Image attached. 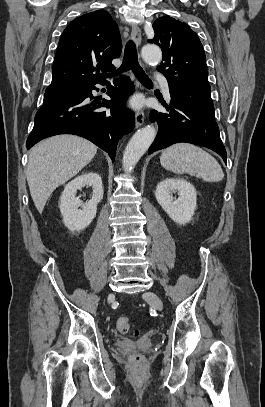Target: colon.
<instances>
[{"mask_svg": "<svg viewBox=\"0 0 265 407\" xmlns=\"http://www.w3.org/2000/svg\"><path fill=\"white\" fill-rule=\"evenodd\" d=\"M116 327L121 333H123V334L128 333L130 331V322H129L128 317H125V316L119 317L116 322ZM138 334H139L138 330L133 331V335L135 337L138 336ZM132 362L134 364H140L141 356L139 354L134 355L132 357Z\"/></svg>", "mask_w": 265, "mask_h": 407, "instance_id": "colon-1", "label": "colon"}]
</instances>
